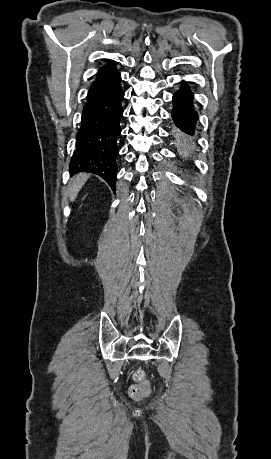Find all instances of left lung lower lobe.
<instances>
[{
    "instance_id": "0a47b994",
    "label": "left lung lower lobe",
    "mask_w": 271,
    "mask_h": 459,
    "mask_svg": "<svg viewBox=\"0 0 271 459\" xmlns=\"http://www.w3.org/2000/svg\"><path fill=\"white\" fill-rule=\"evenodd\" d=\"M193 93L187 82L183 81L181 88L173 95L172 118L180 130L191 134L195 129L198 119L197 112L193 108Z\"/></svg>"
}]
</instances>
